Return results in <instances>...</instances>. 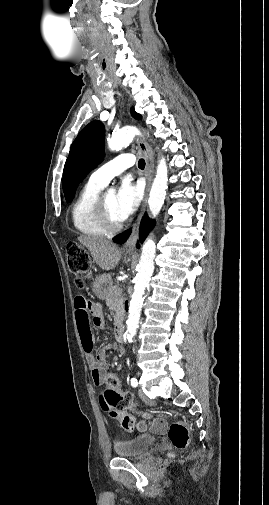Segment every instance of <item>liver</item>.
<instances>
[{
	"mask_svg": "<svg viewBox=\"0 0 269 505\" xmlns=\"http://www.w3.org/2000/svg\"><path fill=\"white\" fill-rule=\"evenodd\" d=\"M78 241L90 251L96 264L103 270L114 269L121 259L120 249L109 240L80 235Z\"/></svg>",
	"mask_w": 269,
	"mask_h": 505,
	"instance_id": "6515ba94",
	"label": "liver"
}]
</instances>
